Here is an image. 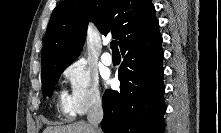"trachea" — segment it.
Wrapping results in <instances>:
<instances>
[{"label":"trachea","instance_id":"obj_1","mask_svg":"<svg viewBox=\"0 0 221 133\" xmlns=\"http://www.w3.org/2000/svg\"><path fill=\"white\" fill-rule=\"evenodd\" d=\"M110 47H111V49H112L113 52H119V50H118V44H117V41H116V40H114V41H112V42L110 43Z\"/></svg>","mask_w":221,"mask_h":133}]
</instances>
